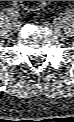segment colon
<instances>
[{
	"instance_id": "colon-1",
	"label": "colon",
	"mask_w": 74,
	"mask_h": 122,
	"mask_svg": "<svg viewBox=\"0 0 74 122\" xmlns=\"http://www.w3.org/2000/svg\"><path fill=\"white\" fill-rule=\"evenodd\" d=\"M21 4L26 8H38L42 6L46 1H20Z\"/></svg>"
}]
</instances>
